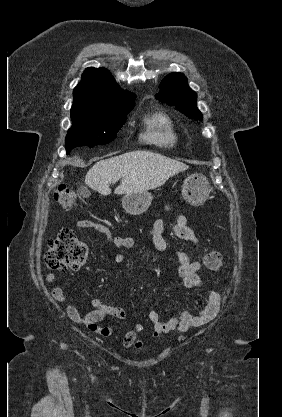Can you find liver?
I'll use <instances>...</instances> for the list:
<instances>
[{
    "label": "liver",
    "mask_w": 282,
    "mask_h": 417,
    "mask_svg": "<svg viewBox=\"0 0 282 417\" xmlns=\"http://www.w3.org/2000/svg\"><path fill=\"white\" fill-rule=\"evenodd\" d=\"M188 164L150 150H132L119 156L104 158L89 168L85 184L101 194H110L114 178H122L115 194L141 192L165 184L170 176L187 170Z\"/></svg>",
    "instance_id": "6515ba94"
}]
</instances>
